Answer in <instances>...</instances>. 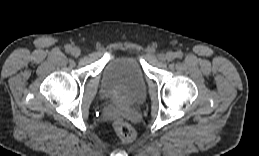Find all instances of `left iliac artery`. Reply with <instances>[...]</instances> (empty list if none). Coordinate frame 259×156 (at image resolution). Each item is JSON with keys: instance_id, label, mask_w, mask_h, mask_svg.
I'll return each instance as SVG.
<instances>
[{"instance_id": "44dca946", "label": "left iliac artery", "mask_w": 259, "mask_h": 156, "mask_svg": "<svg viewBox=\"0 0 259 156\" xmlns=\"http://www.w3.org/2000/svg\"><path fill=\"white\" fill-rule=\"evenodd\" d=\"M176 57L177 58H182L183 57V53L181 51L176 52Z\"/></svg>"}]
</instances>
